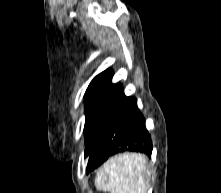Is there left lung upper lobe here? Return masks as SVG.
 <instances>
[{
    "label": "left lung upper lobe",
    "mask_w": 221,
    "mask_h": 193,
    "mask_svg": "<svg viewBox=\"0 0 221 193\" xmlns=\"http://www.w3.org/2000/svg\"><path fill=\"white\" fill-rule=\"evenodd\" d=\"M113 72L97 75L85 93V157L89 156L108 126V113L121 85L112 84Z\"/></svg>",
    "instance_id": "5c2ea615"
}]
</instances>
